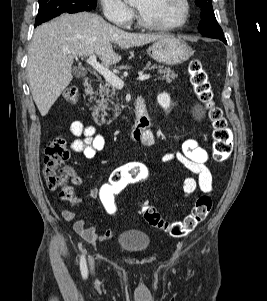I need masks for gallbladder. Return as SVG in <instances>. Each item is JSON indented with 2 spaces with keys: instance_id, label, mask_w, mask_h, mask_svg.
<instances>
[{
  "instance_id": "gallbladder-1",
  "label": "gallbladder",
  "mask_w": 267,
  "mask_h": 301,
  "mask_svg": "<svg viewBox=\"0 0 267 301\" xmlns=\"http://www.w3.org/2000/svg\"><path fill=\"white\" fill-rule=\"evenodd\" d=\"M72 73L76 78H82V77L86 76L87 71L80 67H74L72 69Z\"/></svg>"
}]
</instances>
